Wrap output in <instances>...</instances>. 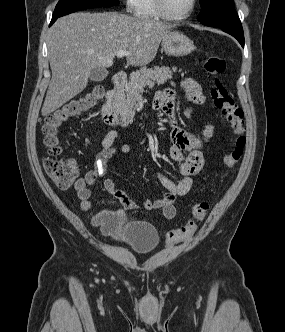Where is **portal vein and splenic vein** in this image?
Masks as SVG:
<instances>
[{"mask_svg": "<svg viewBox=\"0 0 285 332\" xmlns=\"http://www.w3.org/2000/svg\"><path fill=\"white\" fill-rule=\"evenodd\" d=\"M128 54H129V52L124 51V50H119V51H117V53H116L117 57H119V58H122V57H124V56H126V55H128Z\"/></svg>", "mask_w": 285, "mask_h": 332, "instance_id": "obj_1", "label": "portal vein and splenic vein"}]
</instances>
